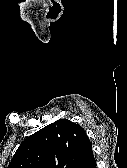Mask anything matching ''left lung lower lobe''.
Wrapping results in <instances>:
<instances>
[{
	"instance_id": "1",
	"label": "left lung lower lobe",
	"mask_w": 127,
	"mask_h": 168,
	"mask_svg": "<svg viewBox=\"0 0 127 168\" xmlns=\"http://www.w3.org/2000/svg\"><path fill=\"white\" fill-rule=\"evenodd\" d=\"M77 168H96V162L92 151V143L89 140L83 148Z\"/></svg>"
}]
</instances>
